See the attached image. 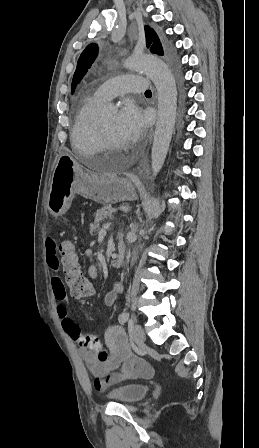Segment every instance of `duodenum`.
Wrapping results in <instances>:
<instances>
[{
    "label": "duodenum",
    "instance_id": "1",
    "mask_svg": "<svg viewBox=\"0 0 259 448\" xmlns=\"http://www.w3.org/2000/svg\"><path fill=\"white\" fill-rule=\"evenodd\" d=\"M125 255V245L123 243H119L117 247V255L114 260V267L119 268L124 260Z\"/></svg>",
    "mask_w": 259,
    "mask_h": 448
}]
</instances>
